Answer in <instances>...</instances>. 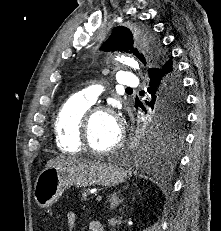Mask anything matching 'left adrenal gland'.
<instances>
[{
    "mask_svg": "<svg viewBox=\"0 0 221 231\" xmlns=\"http://www.w3.org/2000/svg\"><path fill=\"white\" fill-rule=\"evenodd\" d=\"M109 202H110V209L113 210L117 206H119L120 203L123 202V199H119L117 193H114L109 197Z\"/></svg>",
    "mask_w": 221,
    "mask_h": 231,
    "instance_id": "1",
    "label": "left adrenal gland"
}]
</instances>
